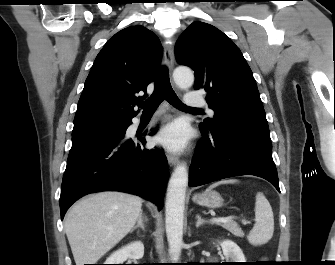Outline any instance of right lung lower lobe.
<instances>
[{"mask_svg": "<svg viewBox=\"0 0 335 265\" xmlns=\"http://www.w3.org/2000/svg\"><path fill=\"white\" fill-rule=\"evenodd\" d=\"M126 129L117 137L72 142L59 200L62 220L76 200L98 191L128 192L162 209L168 178L166 156L158 149H143L146 141L141 137L126 139Z\"/></svg>", "mask_w": 335, "mask_h": 265, "instance_id": "right-lung-lower-lobe-1", "label": "right lung lower lobe"}]
</instances>
